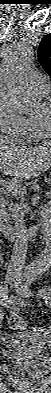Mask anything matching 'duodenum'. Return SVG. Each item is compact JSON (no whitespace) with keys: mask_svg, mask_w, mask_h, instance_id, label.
Listing matches in <instances>:
<instances>
[{"mask_svg":"<svg viewBox=\"0 0 51 393\" xmlns=\"http://www.w3.org/2000/svg\"><path fill=\"white\" fill-rule=\"evenodd\" d=\"M50 223L51 213L48 211H44L42 214V218L39 222L33 223L24 229L18 228L9 219L5 208V201L3 198H0V229L6 237L17 239L22 237L24 234L29 237L38 231H42L48 228Z\"/></svg>","mask_w":51,"mask_h":393,"instance_id":"1","label":"duodenum"}]
</instances>
